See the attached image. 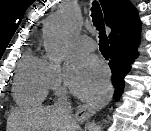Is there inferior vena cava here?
I'll list each match as a JSON object with an SVG mask.
<instances>
[{
	"label": "inferior vena cava",
	"instance_id": "1",
	"mask_svg": "<svg viewBox=\"0 0 151 131\" xmlns=\"http://www.w3.org/2000/svg\"><path fill=\"white\" fill-rule=\"evenodd\" d=\"M54 107L60 109L64 113L65 120L70 124V130L74 131L75 122L71 116V106L67 100V97L65 95L59 97L58 100L55 102Z\"/></svg>",
	"mask_w": 151,
	"mask_h": 131
}]
</instances>
